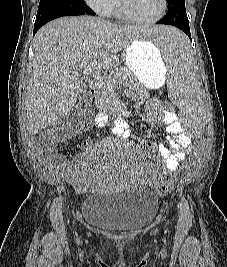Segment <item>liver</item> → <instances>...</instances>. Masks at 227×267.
Instances as JSON below:
<instances>
[{
    "instance_id": "6515ba94",
    "label": "liver",
    "mask_w": 227,
    "mask_h": 267,
    "mask_svg": "<svg viewBox=\"0 0 227 267\" xmlns=\"http://www.w3.org/2000/svg\"><path fill=\"white\" fill-rule=\"evenodd\" d=\"M175 29V28H174ZM145 30L99 17H62L34 38L33 73L26 93V127L36 134L69 114L83 91L77 71L92 62L99 70L120 66L119 53Z\"/></svg>"
}]
</instances>
